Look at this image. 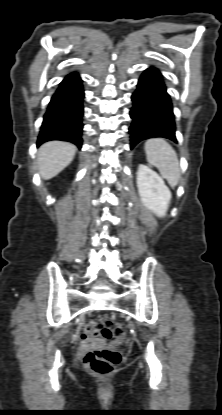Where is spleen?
I'll return each mask as SVG.
<instances>
[{
    "label": "spleen",
    "mask_w": 222,
    "mask_h": 415,
    "mask_svg": "<svg viewBox=\"0 0 222 415\" xmlns=\"http://www.w3.org/2000/svg\"><path fill=\"white\" fill-rule=\"evenodd\" d=\"M147 161L155 166L161 176L174 188L180 178V165L172 146L162 138H152L144 145Z\"/></svg>",
    "instance_id": "obj_1"
}]
</instances>
